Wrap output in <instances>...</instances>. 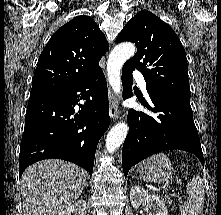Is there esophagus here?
Instances as JSON below:
<instances>
[{
	"label": "esophagus",
	"instance_id": "esophagus-1",
	"mask_svg": "<svg viewBox=\"0 0 221 215\" xmlns=\"http://www.w3.org/2000/svg\"><path fill=\"white\" fill-rule=\"evenodd\" d=\"M119 100L109 88V114L111 119H116L119 115Z\"/></svg>",
	"mask_w": 221,
	"mask_h": 215
}]
</instances>
